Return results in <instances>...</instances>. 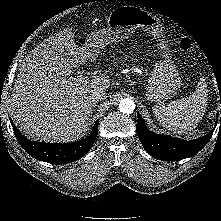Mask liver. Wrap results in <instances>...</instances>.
<instances>
[{"label": "liver", "instance_id": "6515ba94", "mask_svg": "<svg viewBox=\"0 0 221 221\" xmlns=\"http://www.w3.org/2000/svg\"><path fill=\"white\" fill-rule=\"evenodd\" d=\"M97 56L74 43L64 29L33 49L24 59L12 91L10 111L14 123L28 138L69 142L81 136L93 112L90 94L107 90L105 73L89 82L69 81L72 67Z\"/></svg>", "mask_w": 221, "mask_h": 221}]
</instances>
